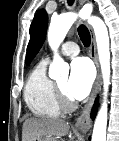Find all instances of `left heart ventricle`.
Wrapping results in <instances>:
<instances>
[{"mask_svg": "<svg viewBox=\"0 0 119 141\" xmlns=\"http://www.w3.org/2000/svg\"><path fill=\"white\" fill-rule=\"evenodd\" d=\"M58 86L60 87V89L65 93V95L67 96V93H66V84H67V79L64 78L60 81L57 82ZM68 97V96H67Z\"/></svg>", "mask_w": 119, "mask_h": 141, "instance_id": "left-heart-ventricle-1", "label": "left heart ventricle"}]
</instances>
